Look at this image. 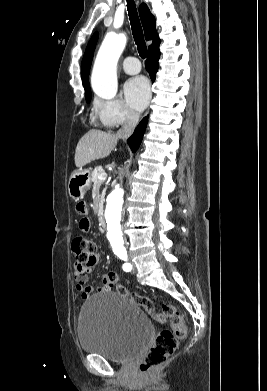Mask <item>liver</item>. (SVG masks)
<instances>
[{
    "label": "liver",
    "instance_id": "obj_1",
    "mask_svg": "<svg viewBox=\"0 0 267 391\" xmlns=\"http://www.w3.org/2000/svg\"><path fill=\"white\" fill-rule=\"evenodd\" d=\"M118 142L114 134L100 130H89L78 142L75 150V165L82 168L86 164L109 156Z\"/></svg>",
    "mask_w": 267,
    "mask_h": 391
}]
</instances>
